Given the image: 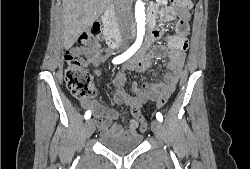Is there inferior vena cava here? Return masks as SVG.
Here are the masks:
<instances>
[{
    "label": "inferior vena cava",
    "mask_w": 250,
    "mask_h": 169,
    "mask_svg": "<svg viewBox=\"0 0 250 169\" xmlns=\"http://www.w3.org/2000/svg\"><path fill=\"white\" fill-rule=\"evenodd\" d=\"M117 18L122 32L131 30L133 24V12L131 0H117Z\"/></svg>",
    "instance_id": "602c4592"
}]
</instances>
